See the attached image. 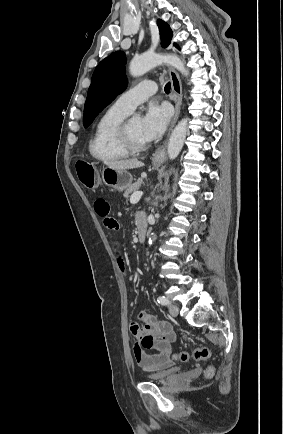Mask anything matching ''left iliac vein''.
<instances>
[{
    "label": "left iliac vein",
    "mask_w": 283,
    "mask_h": 434,
    "mask_svg": "<svg viewBox=\"0 0 283 434\" xmlns=\"http://www.w3.org/2000/svg\"><path fill=\"white\" fill-rule=\"evenodd\" d=\"M169 313L176 317L179 313V307L177 305H169Z\"/></svg>",
    "instance_id": "obj_1"
}]
</instances>
